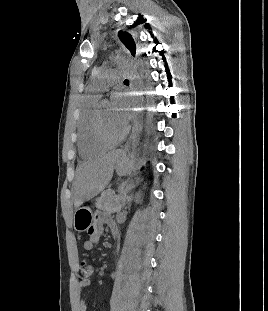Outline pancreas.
Masks as SVG:
<instances>
[{"label": "pancreas", "mask_w": 268, "mask_h": 311, "mask_svg": "<svg viewBox=\"0 0 268 311\" xmlns=\"http://www.w3.org/2000/svg\"><path fill=\"white\" fill-rule=\"evenodd\" d=\"M123 203L122 195H115L114 191L104 192L96 201V207L108 212H119Z\"/></svg>", "instance_id": "1"}]
</instances>
